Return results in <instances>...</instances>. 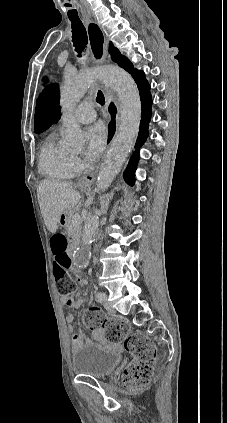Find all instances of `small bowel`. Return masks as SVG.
Wrapping results in <instances>:
<instances>
[{"label": "small bowel", "mask_w": 227, "mask_h": 423, "mask_svg": "<svg viewBox=\"0 0 227 423\" xmlns=\"http://www.w3.org/2000/svg\"><path fill=\"white\" fill-rule=\"evenodd\" d=\"M61 303L71 308H79L83 305L82 300L76 299L74 296H61ZM74 316L71 312L67 313L65 316V320L68 324V331L73 332V326L71 325ZM93 337L95 340L103 341L104 334L100 330L93 331ZM84 342V338L81 333H74L71 337V343L74 348H78Z\"/></svg>", "instance_id": "obj_1"}]
</instances>
